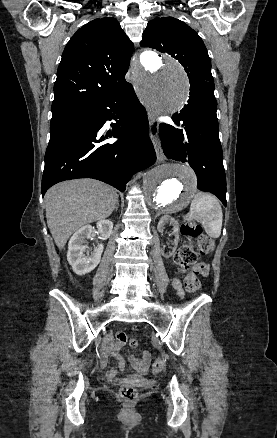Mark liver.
I'll return each instance as SVG.
<instances>
[{"mask_svg": "<svg viewBox=\"0 0 277 438\" xmlns=\"http://www.w3.org/2000/svg\"><path fill=\"white\" fill-rule=\"evenodd\" d=\"M118 202L114 188L98 180H68L45 194L47 226L62 250L68 238L82 226L111 216Z\"/></svg>", "mask_w": 277, "mask_h": 438, "instance_id": "6515ba94", "label": "liver"}]
</instances>
